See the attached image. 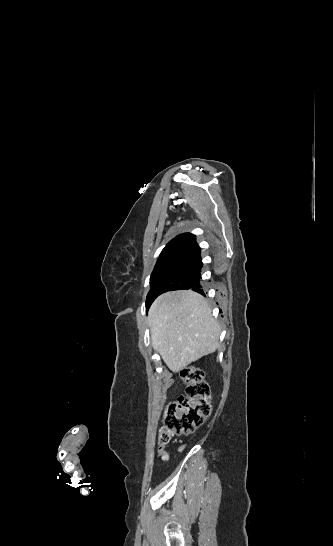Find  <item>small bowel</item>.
Returning a JSON list of instances; mask_svg holds the SVG:
<instances>
[{
  "mask_svg": "<svg viewBox=\"0 0 333 546\" xmlns=\"http://www.w3.org/2000/svg\"><path fill=\"white\" fill-rule=\"evenodd\" d=\"M158 457H159L162 461L167 462V461L169 460V458H170V455H169V453H168L166 450H164V449H159V451H158Z\"/></svg>",
  "mask_w": 333,
  "mask_h": 546,
  "instance_id": "obj_1",
  "label": "small bowel"
}]
</instances>
